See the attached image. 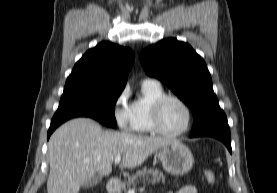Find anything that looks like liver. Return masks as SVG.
Segmentation results:
<instances>
[{"mask_svg":"<svg viewBox=\"0 0 277 193\" xmlns=\"http://www.w3.org/2000/svg\"><path fill=\"white\" fill-rule=\"evenodd\" d=\"M175 140L127 132L103 131L88 118L60 126L50 137L48 193H78L95 174L108 176L114 158L123 155L121 168L141 165L151 154Z\"/></svg>","mask_w":277,"mask_h":193,"instance_id":"liver-1","label":"liver"}]
</instances>
